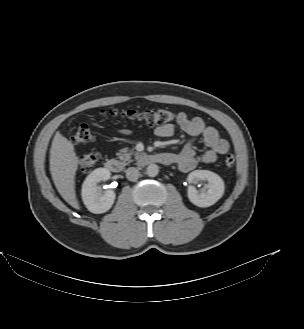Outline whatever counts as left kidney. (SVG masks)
I'll list each match as a JSON object with an SVG mask.
<instances>
[{
    "mask_svg": "<svg viewBox=\"0 0 304 329\" xmlns=\"http://www.w3.org/2000/svg\"><path fill=\"white\" fill-rule=\"evenodd\" d=\"M207 181V191L199 193L194 186L188 187L189 200L198 207H209L215 204L224 194V181L214 172L208 170H195L191 172L187 181L189 183H198L199 181Z\"/></svg>",
    "mask_w": 304,
    "mask_h": 329,
    "instance_id": "left-kidney-1",
    "label": "left kidney"
}]
</instances>
